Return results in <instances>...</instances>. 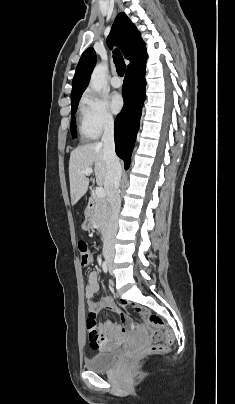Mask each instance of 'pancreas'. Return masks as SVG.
<instances>
[{"label": "pancreas", "instance_id": "obj_1", "mask_svg": "<svg viewBox=\"0 0 235 404\" xmlns=\"http://www.w3.org/2000/svg\"><path fill=\"white\" fill-rule=\"evenodd\" d=\"M109 215V206L105 198H95L94 207L91 211V221L97 225L102 233L106 228V223Z\"/></svg>", "mask_w": 235, "mask_h": 404}]
</instances>
